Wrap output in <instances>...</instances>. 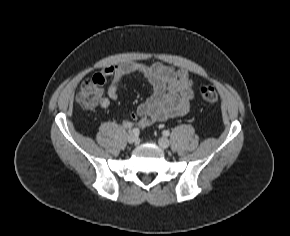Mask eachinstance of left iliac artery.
<instances>
[{
	"mask_svg": "<svg viewBox=\"0 0 290 236\" xmlns=\"http://www.w3.org/2000/svg\"><path fill=\"white\" fill-rule=\"evenodd\" d=\"M162 133H163L164 136H169L170 135V132L168 130H164Z\"/></svg>",
	"mask_w": 290,
	"mask_h": 236,
	"instance_id": "obj_1",
	"label": "left iliac artery"
}]
</instances>
